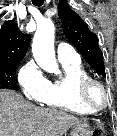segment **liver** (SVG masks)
<instances>
[{
	"instance_id": "6515ba94",
	"label": "liver",
	"mask_w": 117,
	"mask_h": 136,
	"mask_svg": "<svg viewBox=\"0 0 117 136\" xmlns=\"http://www.w3.org/2000/svg\"><path fill=\"white\" fill-rule=\"evenodd\" d=\"M80 122L67 112L37 107L13 90H0V136H62Z\"/></svg>"
}]
</instances>
